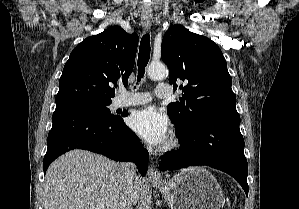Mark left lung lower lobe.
Returning <instances> with one entry per match:
<instances>
[{
  "label": "left lung lower lobe",
  "mask_w": 299,
  "mask_h": 209,
  "mask_svg": "<svg viewBox=\"0 0 299 209\" xmlns=\"http://www.w3.org/2000/svg\"><path fill=\"white\" fill-rule=\"evenodd\" d=\"M239 124L237 110L227 109L209 114L197 125L182 132L176 130L182 147L165 154L159 169L165 171L207 165L234 177L248 195V165Z\"/></svg>",
  "instance_id": "0a47b994"
}]
</instances>
